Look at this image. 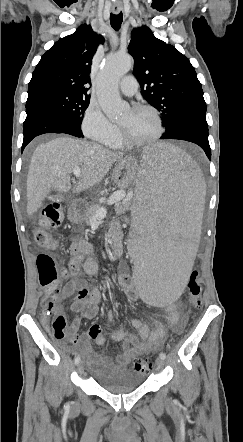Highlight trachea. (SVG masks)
Listing matches in <instances>:
<instances>
[{
  "label": "trachea",
  "mask_w": 243,
  "mask_h": 442,
  "mask_svg": "<svg viewBox=\"0 0 243 442\" xmlns=\"http://www.w3.org/2000/svg\"><path fill=\"white\" fill-rule=\"evenodd\" d=\"M123 15L122 12L119 14H111L110 15V24L114 30H119L122 24Z\"/></svg>",
  "instance_id": "obj_1"
}]
</instances>
